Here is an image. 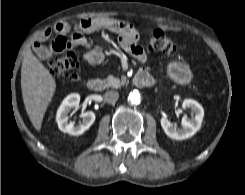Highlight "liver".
Here are the masks:
<instances>
[{
    "instance_id": "1",
    "label": "liver",
    "mask_w": 245,
    "mask_h": 195,
    "mask_svg": "<svg viewBox=\"0 0 245 195\" xmlns=\"http://www.w3.org/2000/svg\"><path fill=\"white\" fill-rule=\"evenodd\" d=\"M21 89L29 119L34 128L40 131L45 112L56 90V82L30 49L26 51L22 62Z\"/></svg>"
}]
</instances>
